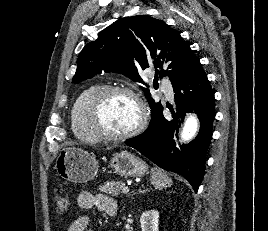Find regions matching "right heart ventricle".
Returning <instances> with one entry per match:
<instances>
[{
	"mask_svg": "<svg viewBox=\"0 0 268 231\" xmlns=\"http://www.w3.org/2000/svg\"><path fill=\"white\" fill-rule=\"evenodd\" d=\"M99 89L100 85L98 83L90 84L80 93L70 108V121L73 133L77 138L85 142L94 143L100 140L91 131L86 120L88 102Z\"/></svg>",
	"mask_w": 268,
	"mask_h": 231,
	"instance_id": "1",
	"label": "right heart ventricle"
}]
</instances>
